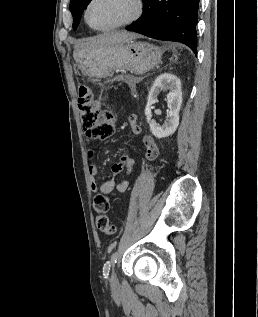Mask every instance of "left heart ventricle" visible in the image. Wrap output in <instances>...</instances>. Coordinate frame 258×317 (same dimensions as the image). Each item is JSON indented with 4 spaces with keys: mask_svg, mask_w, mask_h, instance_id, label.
Masks as SVG:
<instances>
[{
    "mask_svg": "<svg viewBox=\"0 0 258 317\" xmlns=\"http://www.w3.org/2000/svg\"><path fill=\"white\" fill-rule=\"evenodd\" d=\"M134 5L125 0H95L88 12L90 22L97 27H108L129 18Z\"/></svg>",
    "mask_w": 258,
    "mask_h": 317,
    "instance_id": "1",
    "label": "left heart ventricle"
}]
</instances>
